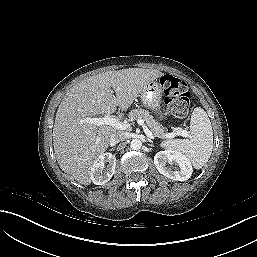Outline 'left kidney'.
I'll return each instance as SVG.
<instances>
[{"instance_id": "1", "label": "left kidney", "mask_w": 257, "mask_h": 257, "mask_svg": "<svg viewBox=\"0 0 257 257\" xmlns=\"http://www.w3.org/2000/svg\"><path fill=\"white\" fill-rule=\"evenodd\" d=\"M154 164L159 173L175 181L188 180L193 171L189 160L179 151L172 149L156 153Z\"/></svg>"}]
</instances>
